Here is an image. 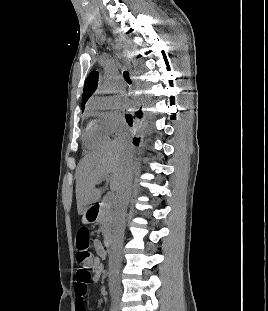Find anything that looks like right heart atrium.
Listing matches in <instances>:
<instances>
[{"instance_id":"d8ad5b80","label":"right heart atrium","mask_w":268,"mask_h":311,"mask_svg":"<svg viewBox=\"0 0 268 311\" xmlns=\"http://www.w3.org/2000/svg\"><path fill=\"white\" fill-rule=\"evenodd\" d=\"M88 112L109 135L116 134L124 126L122 115L109 97L95 96L88 105Z\"/></svg>"}]
</instances>
